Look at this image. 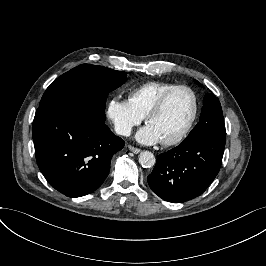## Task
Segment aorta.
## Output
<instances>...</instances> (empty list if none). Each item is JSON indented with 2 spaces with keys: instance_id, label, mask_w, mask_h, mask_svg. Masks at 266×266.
<instances>
[{
  "instance_id": "obj_1",
  "label": "aorta",
  "mask_w": 266,
  "mask_h": 266,
  "mask_svg": "<svg viewBox=\"0 0 266 266\" xmlns=\"http://www.w3.org/2000/svg\"><path fill=\"white\" fill-rule=\"evenodd\" d=\"M139 162L143 168H151L155 165L156 159L153 153L144 151L139 156Z\"/></svg>"
}]
</instances>
